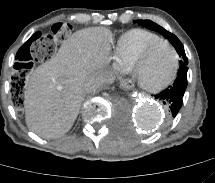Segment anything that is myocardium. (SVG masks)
Masks as SVG:
<instances>
[{"instance_id":"obj_1","label":"myocardium","mask_w":215,"mask_h":183,"mask_svg":"<svg viewBox=\"0 0 215 183\" xmlns=\"http://www.w3.org/2000/svg\"><path fill=\"white\" fill-rule=\"evenodd\" d=\"M161 44L167 45L174 53L175 61H174V68H173L172 74L170 75V77L164 83H162V84H160L158 86H155V87L144 86L138 80V77H137V74H136V67L142 61H144L146 59V57L150 54V52L155 47H157L158 45H161ZM179 63H180V56H179V53H178L177 49L175 48V46L172 43H170L168 40L160 39V40H157V41L152 42L151 44L147 45L133 59V61L131 62L130 66H129V71H130L131 77L133 78L134 82L136 83V85L140 89H142V90H144V91H146L148 93H159V92L163 91L164 89H166L168 86H170L174 82V80L176 79L178 71H179Z\"/></svg>"}]
</instances>
